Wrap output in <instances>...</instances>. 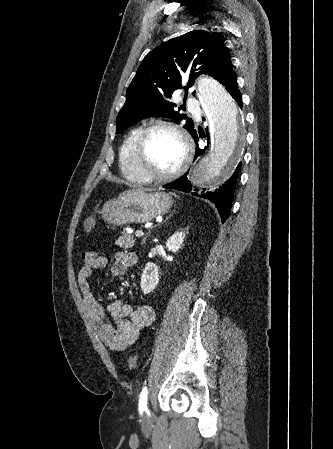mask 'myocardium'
Returning a JSON list of instances; mask_svg holds the SVG:
<instances>
[{"mask_svg":"<svg viewBox=\"0 0 333 449\" xmlns=\"http://www.w3.org/2000/svg\"><path fill=\"white\" fill-rule=\"evenodd\" d=\"M156 130L168 131L176 135L179 138L184 150V156L181 163L176 169L166 174H154L148 171L143 165L146 143L150 135ZM192 157L193 148L188 136L178 126L165 121H155L143 128L134 147V161L136 169L138 173L148 182L163 183L178 178L188 169L192 162Z\"/></svg>","mask_w":333,"mask_h":449,"instance_id":"obj_1","label":"myocardium"}]
</instances>
